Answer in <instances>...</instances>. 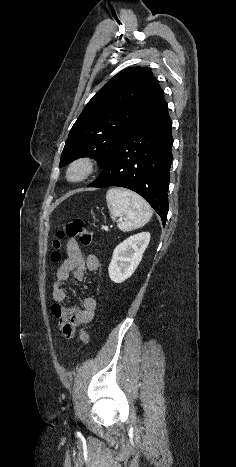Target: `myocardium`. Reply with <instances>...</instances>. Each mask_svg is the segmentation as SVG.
Here are the masks:
<instances>
[{"label":"myocardium","mask_w":236,"mask_h":467,"mask_svg":"<svg viewBox=\"0 0 236 467\" xmlns=\"http://www.w3.org/2000/svg\"><path fill=\"white\" fill-rule=\"evenodd\" d=\"M97 170L95 158L89 155L79 156L68 163L65 169V179L68 183L79 184L89 179ZM74 172H78L75 176Z\"/></svg>","instance_id":"obj_1"}]
</instances>
